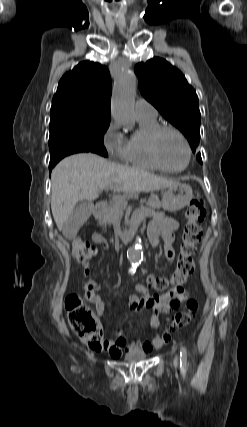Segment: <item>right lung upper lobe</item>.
<instances>
[{
  "mask_svg": "<svg viewBox=\"0 0 247 427\" xmlns=\"http://www.w3.org/2000/svg\"><path fill=\"white\" fill-rule=\"evenodd\" d=\"M110 97L111 78L107 67L83 61L59 81L50 114L71 110L110 118Z\"/></svg>",
  "mask_w": 247,
  "mask_h": 427,
  "instance_id": "cb5924a9",
  "label": "right lung upper lobe"
}]
</instances>
